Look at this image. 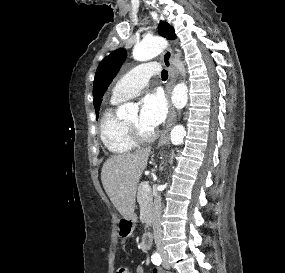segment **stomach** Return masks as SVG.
Listing matches in <instances>:
<instances>
[{
  "label": "stomach",
  "mask_w": 285,
  "mask_h": 273,
  "mask_svg": "<svg viewBox=\"0 0 285 273\" xmlns=\"http://www.w3.org/2000/svg\"><path fill=\"white\" fill-rule=\"evenodd\" d=\"M135 222H136V216L132 219H123L119 224L120 235L122 236L130 235L135 228Z\"/></svg>",
  "instance_id": "stomach-1"
}]
</instances>
